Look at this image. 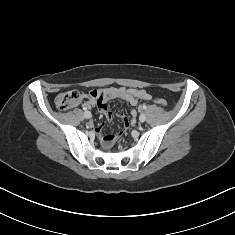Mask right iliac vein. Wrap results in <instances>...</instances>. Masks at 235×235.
I'll list each match as a JSON object with an SVG mask.
<instances>
[{"label": "right iliac vein", "mask_w": 235, "mask_h": 235, "mask_svg": "<svg viewBox=\"0 0 235 235\" xmlns=\"http://www.w3.org/2000/svg\"><path fill=\"white\" fill-rule=\"evenodd\" d=\"M84 117H85L86 119L91 118V113H90V112L84 113Z\"/></svg>", "instance_id": "obj_1"}]
</instances>
